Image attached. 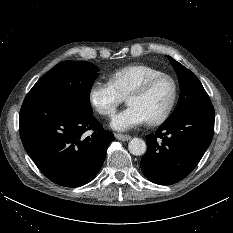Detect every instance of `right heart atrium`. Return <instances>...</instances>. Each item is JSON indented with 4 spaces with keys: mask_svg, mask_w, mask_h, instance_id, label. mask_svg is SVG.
I'll return each mask as SVG.
<instances>
[{
    "mask_svg": "<svg viewBox=\"0 0 233 233\" xmlns=\"http://www.w3.org/2000/svg\"><path fill=\"white\" fill-rule=\"evenodd\" d=\"M125 97L111 81L95 80L89 89V101L102 116H112Z\"/></svg>",
    "mask_w": 233,
    "mask_h": 233,
    "instance_id": "1",
    "label": "right heart atrium"
}]
</instances>
